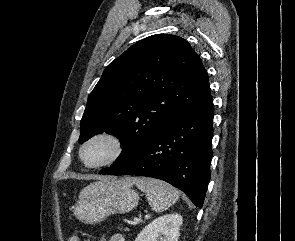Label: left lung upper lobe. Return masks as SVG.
<instances>
[{"mask_svg": "<svg viewBox=\"0 0 295 241\" xmlns=\"http://www.w3.org/2000/svg\"><path fill=\"white\" fill-rule=\"evenodd\" d=\"M210 93L207 72L186 40L170 34L149 36L105 68L88 97L78 142L102 132L117 136L122 153L101 170L112 171Z\"/></svg>", "mask_w": 295, "mask_h": 241, "instance_id": "1", "label": "left lung upper lobe"}]
</instances>
